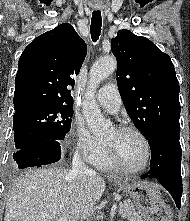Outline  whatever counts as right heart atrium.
Instances as JSON below:
<instances>
[{
	"label": "right heart atrium",
	"instance_id": "1",
	"mask_svg": "<svg viewBox=\"0 0 190 221\" xmlns=\"http://www.w3.org/2000/svg\"><path fill=\"white\" fill-rule=\"evenodd\" d=\"M70 138L75 152L84 160L91 161L101 150L102 143L81 120H75L70 130Z\"/></svg>",
	"mask_w": 190,
	"mask_h": 221
}]
</instances>
